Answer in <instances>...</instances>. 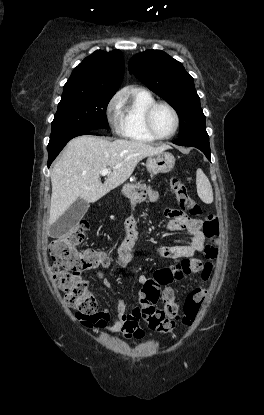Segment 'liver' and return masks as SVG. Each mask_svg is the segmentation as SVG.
Returning a JSON list of instances; mask_svg holds the SVG:
<instances>
[{
  "label": "liver",
  "mask_w": 264,
  "mask_h": 415,
  "mask_svg": "<svg viewBox=\"0 0 264 415\" xmlns=\"http://www.w3.org/2000/svg\"><path fill=\"white\" fill-rule=\"evenodd\" d=\"M169 149L149 144L83 135L69 141L51 172L52 195L49 225L54 224L78 199L93 203L123 184L145 157ZM110 168L105 182L101 170Z\"/></svg>",
  "instance_id": "liver-1"
}]
</instances>
